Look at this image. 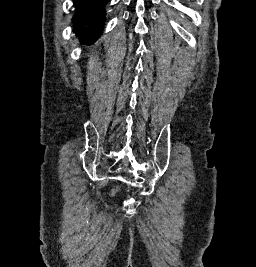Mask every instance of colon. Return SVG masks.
Here are the masks:
<instances>
[{
  "label": "colon",
  "mask_w": 256,
  "mask_h": 267,
  "mask_svg": "<svg viewBox=\"0 0 256 267\" xmlns=\"http://www.w3.org/2000/svg\"><path fill=\"white\" fill-rule=\"evenodd\" d=\"M115 194H116V189H114V190H113V193H112V195H115Z\"/></svg>",
  "instance_id": "1"
}]
</instances>
